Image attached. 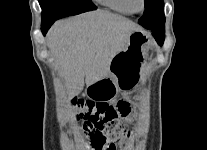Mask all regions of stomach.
<instances>
[{"label": "stomach", "instance_id": "0dacf381", "mask_svg": "<svg viewBox=\"0 0 207 150\" xmlns=\"http://www.w3.org/2000/svg\"><path fill=\"white\" fill-rule=\"evenodd\" d=\"M149 43L143 30L133 31L125 48L112 59L110 75L87 86L86 94L95 100H111L119 90L133 87L141 77Z\"/></svg>", "mask_w": 207, "mask_h": 150}]
</instances>
